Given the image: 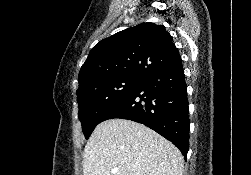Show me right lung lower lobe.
<instances>
[{"mask_svg":"<svg viewBox=\"0 0 251 175\" xmlns=\"http://www.w3.org/2000/svg\"><path fill=\"white\" fill-rule=\"evenodd\" d=\"M113 118L136 121L153 129L179 148L186 159L190 120L182 62L142 78L100 120Z\"/></svg>","mask_w":251,"mask_h":175,"instance_id":"98d812e1","label":"right lung lower lobe"}]
</instances>
